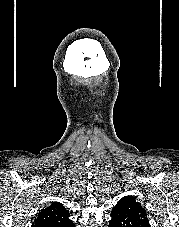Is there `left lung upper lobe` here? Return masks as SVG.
Returning <instances> with one entry per match:
<instances>
[{
    "mask_svg": "<svg viewBox=\"0 0 179 227\" xmlns=\"http://www.w3.org/2000/svg\"><path fill=\"white\" fill-rule=\"evenodd\" d=\"M110 216L114 227H150L146 210L132 196L120 199Z\"/></svg>",
    "mask_w": 179,
    "mask_h": 227,
    "instance_id": "obj_1",
    "label": "left lung upper lobe"
}]
</instances>
